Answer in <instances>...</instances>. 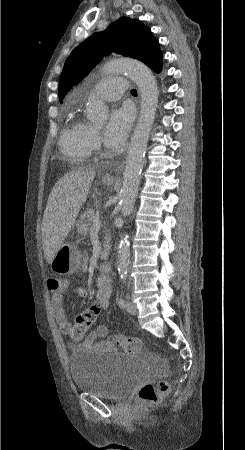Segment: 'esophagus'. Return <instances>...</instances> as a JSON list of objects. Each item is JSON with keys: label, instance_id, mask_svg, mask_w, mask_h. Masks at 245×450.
Here are the masks:
<instances>
[{"label": "esophagus", "instance_id": "1", "mask_svg": "<svg viewBox=\"0 0 245 450\" xmlns=\"http://www.w3.org/2000/svg\"><path fill=\"white\" fill-rule=\"evenodd\" d=\"M123 166H124V162H122L121 164H119L115 169H113L111 172L106 173L104 175V179L105 180H116L119 178V176L122 173L123 170Z\"/></svg>", "mask_w": 245, "mask_h": 450}]
</instances>
